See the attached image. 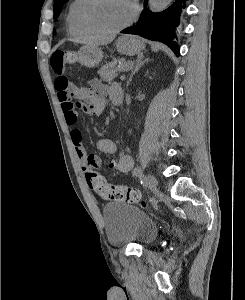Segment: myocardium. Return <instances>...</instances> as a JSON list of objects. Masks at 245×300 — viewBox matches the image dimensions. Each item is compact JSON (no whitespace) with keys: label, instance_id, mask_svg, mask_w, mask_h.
<instances>
[{"label":"myocardium","instance_id":"1","mask_svg":"<svg viewBox=\"0 0 245 300\" xmlns=\"http://www.w3.org/2000/svg\"><path fill=\"white\" fill-rule=\"evenodd\" d=\"M128 1L132 7V15L128 19L127 22L120 25L119 27H116V28L110 29V30H105V29L97 28L90 23L88 13H89L90 7L95 2V0H85L84 4L80 10V14H79L80 22H81L82 26L91 34L102 35V36L117 34L121 31H123L124 29L128 28L136 20V18L138 16L139 10H138L137 4L134 2V0H128Z\"/></svg>","mask_w":245,"mask_h":300}]
</instances>
